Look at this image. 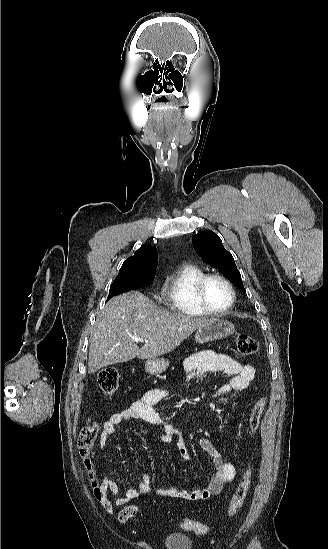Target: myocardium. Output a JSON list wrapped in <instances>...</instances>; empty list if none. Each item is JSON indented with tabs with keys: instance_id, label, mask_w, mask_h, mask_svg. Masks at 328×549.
<instances>
[{
	"instance_id": "1",
	"label": "myocardium",
	"mask_w": 328,
	"mask_h": 549,
	"mask_svg": "<svg viewBox=\"0 0 328 549\" xmlns=\"http://www.w3.org/2000/svg\"><path fill=\"white\" fill-rule=\"evenodd\" d=\"M215 279L224 282L228 286L231 293L229 305L221 311H213L205 306L208 304L205 296L207 284L211 280ZM195 296L198 301V305H195V310L202 315L215 319L223 318L229 315L234 309L237 300V293L233 282L227 276L219 272L206 273L203 277H201L196 285Z\"/></svg>"
}]
</instances>
